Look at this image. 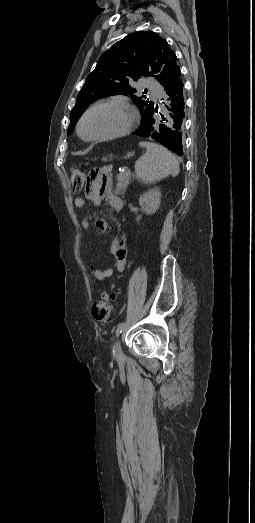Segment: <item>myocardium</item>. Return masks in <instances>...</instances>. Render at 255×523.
<instances>
[{"label": "myocardium", "instance_id": "myocardium-1", "mask_svg": "<svg viewBox=\"0 0 255 523\" xmlns=\"http://www.w3.org/2000/svg\"><path fill=\"white\" fill-rule=\"evenodd\" d=\"M102 106H113V107H121V108L129 109L132 113L131 121H130L129 125L126 127V129L123 130L122 132H119V133H116V134H113L110 136L100 137V138H86L82 133L83 121L91 110H93L94 108H97V107H102ZM139 122H140V115H139L137 108L134 105L124 102V101H105V102H99V103H95V104L91 105L82 113V115L79 118L78 124H77V132H78V135L80 136V138L84 141L100 143V142L120 139V138L130 135L136 129Z\"/></svg>", "mask_w": 255, "mask_h": 523}]
</instances>
